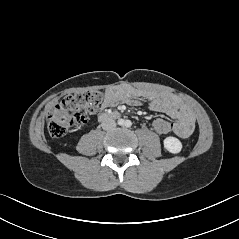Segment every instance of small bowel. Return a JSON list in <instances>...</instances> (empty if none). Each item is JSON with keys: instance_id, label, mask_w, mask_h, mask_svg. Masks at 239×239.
Wrapping results in <instances>:
<instances>
[{"instance_id": "1", "label": "small bowel", "mask_w": 239, "mask_h": 239, "mask_svg": "<svg viewBox=\"0 0 239 239\" xmlns=\"http://www.w3.org/2000/svg\"><path fill=\"white\" fill-rule=\"evenodd\" d=\"M140 100L146 101L151 109L165 113L173 119L169 133L180 138H187L193 133L195 129L193 113L175 96L166 92L120 85L105 91L101 107L112 108L123 102L136 105Z\"/></svg>"}]
</instances>
